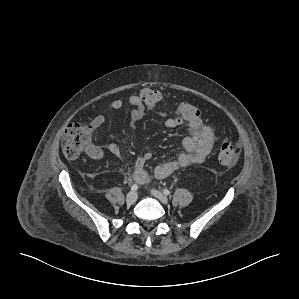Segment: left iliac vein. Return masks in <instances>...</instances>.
I'll return each mask as SVG.
<instances>
[{
	"label": "left iliac vein",
	"mask_w": 299,
	"mask_h": 299,
	"mask_svg": "<svg viewBox=\"0 0 299 299\" xmlns=\"http://www.w3.org/2000/svg\"><path fill=\"white\" fill-rule=\"evenodd\" d=\"M152 195L158 199L161 203L163 204H167L168 203V198L165 194H163L162 192L156 190V189H152L151 190Z\"/></svg>",
	"instance_id": "1"
}]
</instances>
